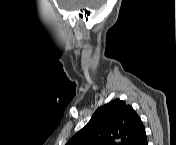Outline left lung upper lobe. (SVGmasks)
Masks as SVG:
<instances>
[{"label":"left lung upper lobe","mask_w":176,"mask_h":145,"mask_svg":"<svg viewBox=\"0 0 176 145\" xmlns=\"http://www.w3.org/2000/svg\"><path fill=\"white\" fill-rule=\"evenodd\" d=\"M145 133V127L134 111L120 99L98 108L88 124L76 133L66 145H136Z\"/></svg>","instance_id":"obj_1"}]
</instances>
